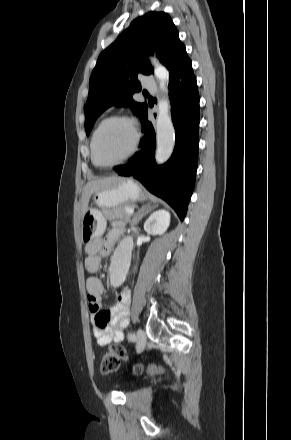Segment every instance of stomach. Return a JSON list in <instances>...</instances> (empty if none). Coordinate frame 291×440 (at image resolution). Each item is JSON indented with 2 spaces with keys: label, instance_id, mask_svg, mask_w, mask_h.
Segmentation results:
<instances>
[{
  "label": "stomach",
  "instance_id": "0dacf381",
  "mask_svg": "<svg viewBox=\"0 0 291 440\" xmlns=\"http://www.w3.org/2000/svg\"><path fill=\"white\" fill-rule=\"evenodd\" d=\"M144 199L140 187L132 179L121 178L109 188L95 191L93 201L100 208H114L131 201ZM106 227V221L96 208H89L82 217V241L88 242L100 236Z\"/></svg>",
  "mask_w": 291,
  "mask_h": 440
}]
</instances>
